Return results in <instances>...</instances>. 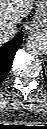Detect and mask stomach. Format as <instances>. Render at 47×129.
Instances as JSON below:
<instances>
[{
  "mask_svg": "<svg viewBox=\"0 0 47 129\" xmlns=\"http://www.w3.org/2000/svg\"><path fill=\"white\" fill-rule=\"evenodd\" d=\"M35 4L37 6L35 23L47 30V0H36Z\"/></svg>",
  "mask_w": 47,
  "mask_h": 129,
  "instance_id": "obj_1",
  "label": "stomach"
}]
</instances>
